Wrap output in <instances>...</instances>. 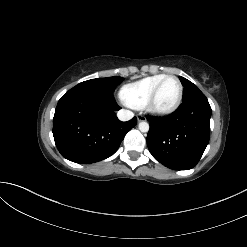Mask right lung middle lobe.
<instances>
[{"instance_id":"dd1d6c3e","label":"right lung middle lobe","mask_w":247,"mask_h":247,"mask_svg":"<svg viewBox=\"0 0 247 247\" xmlns=\"http://www.w3.org/2000/svg\"><path fill=\"white\" fill-rule=\"evenodd\" d=\"M124 78L122 77H107V78H96L87 80L79 83L75 87L77 88H95L101 89L109 92H113L117 85H119Z\"/></svg>"}]
</instances>
